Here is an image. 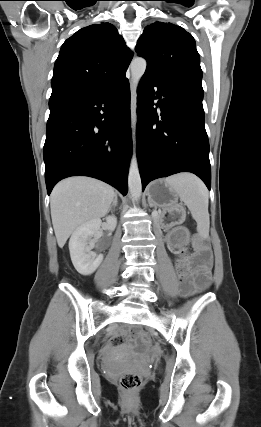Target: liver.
<instances>
[{"mask_svg": "<svg viewBox=\"0 0 261 427\" xmlns=\"http://www.w3.org/2000/svg\"><path fill=\"white\" fill-rule=\"evenodd\" d=\"M114 197L112 186L94 178L77 176L59 182L50 198L58 246L62 248L82 224L105 216Z\"/></svg>", "mask_w": 261, "mask_h": 427, "instance_id": "liver-1", "label": "liver"}]
</instances>
